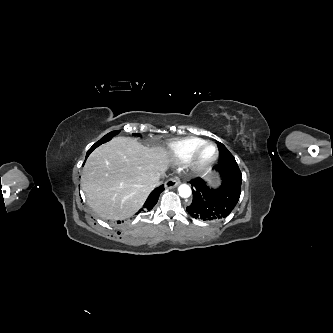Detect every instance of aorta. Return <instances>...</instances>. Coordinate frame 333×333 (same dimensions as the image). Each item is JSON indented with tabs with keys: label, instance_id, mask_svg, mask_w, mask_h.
Here are the masks:
<instances>
[{
	"label": "aorta",
	"instance_id": "762f6f07",
	"mask_svg": "<svg viewBox=\"0 0 333 333\" xmlns=\"http://www.w3.org/2000/svg\"><path fill=\"white\" fill-rule=\"evenodd\" d=\"M178 191L179 195L183 198H188L191 195V188L186 184L180 185Z\"/></svg>",
	"mask_w": 333,
	"mask_h": 333
}]
</instances>
